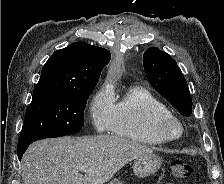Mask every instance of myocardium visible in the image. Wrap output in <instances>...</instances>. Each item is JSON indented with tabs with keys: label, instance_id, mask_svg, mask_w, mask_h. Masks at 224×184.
I'll list each match as a JSON object with an SVG mask.
<instances>
[{
	"label": "myocardium",
	"instance_id": "1",
	"mask_svg": "<svg viewBox=\"0 0 224 184\" xmlns=\"http://www.w3.org/2000/svg\"><path fill=\"white\" fill-rule=\"evenodd\" d=\"M153 131L162 141L171 142L182 136L184 128L176 116L168 114L155 119Z\"/></svg>",
	"mask_w": 224,
	"mask_h": 184
}]
</instances>
